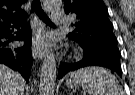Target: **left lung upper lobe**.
<instances>
[{
    "label": "left lung upper lobe",
    "mask_w": 135,
    "mask_h": 95,
    "mask_svg": "<svg viewBox=\"0 0 135 95\" xmlns=\"http://www.w3.org/2000/svg\"><path fill=\"white\" fill-rule=\"evenodd\" d=\"M66 14H75L74 30L68 38L83 47L109 42L117 44L108 10L102 0H64Z\"/></svg>",
    "instance_id": "5c2ea615"
}]
</instances>
